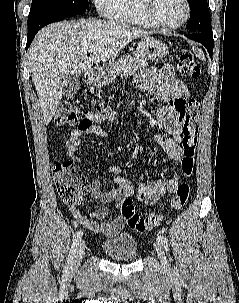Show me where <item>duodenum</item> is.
<instances>
[{
    "label": "duodenum",
    "instance_id": "duodenum-1",
    "mask_svg": "<svg viewBox=\"0 0 239 303\" xmlns=\"http://www.w3.org/2000/svg\"><path fill=\"white\" fill-rule=\"evenodd\" d=\"M97 79V75L94 71H88L86 75V80L88 83H92Z\"/></svg>",
    "mask_w": 239,
    "mask_h": 303
}]
</instances>
